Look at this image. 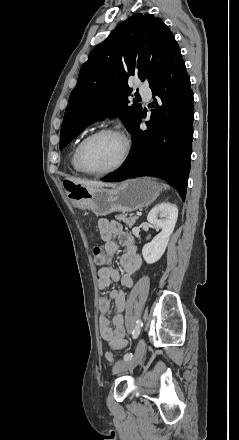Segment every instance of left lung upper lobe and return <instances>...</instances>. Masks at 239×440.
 <instances>
[{"instance_id": "obj_1", "label": "left lung upper lobe", "mask_w": 239, "mask_h": 440, "mask_svg": "<svg viewBox=\"0 0 239 440\" xmlns=\"http://www.w3.org/2000/svg\"><path fill=\"white\" fill-rule=\"evenodd\" d=\"M177 44L169 27L152 14L136 13L98 44L82 65L60 132V149L92 122L120 115L130 131L142 110L128 106L129 76L151 83Z\"/></svg>"}]
</instances>
